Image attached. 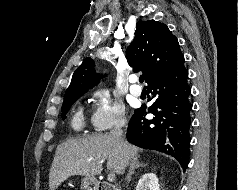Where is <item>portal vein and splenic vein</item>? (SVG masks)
Masks as SVG:
<instances>
[{"mask_svg": "<svg viewBox=\"0 0 238 190\" xmlns=\"http://www.w3.org/2000/svg\"><path fill=\"white\" fill-rule=\"evenodd\" d=\"M114 179H115V174L114 173H109L108 174V181H113Z\"/></svg>", "mask_w": 238, "mask_h": 190, "instance_id": "1", "label": "portal vein and splenic vein"}]
</instances>
